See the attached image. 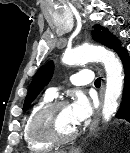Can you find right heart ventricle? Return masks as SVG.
Returning <instances> with one entry per match:
<instances>
[{
	"instance_id": "obj_1",
	"label": "right heart ventricle",
	"mask_w": 130,
	"mask_h": 153,
	"mask_svg": "<svg viewBox=\"0 0 130 153\" xmlns=\"http://www.w3.org/2000/svg\"><path fill=\"white\" fill-rule=\"evenodd\" d=\"M53 101V97L45 94L30 110L22 128V136L27 147L33 151L45 152L53 148L54 143L40 139L33 135L31 131V121L35 113L44 105Z\"/></svg>"
}]
</instances>
